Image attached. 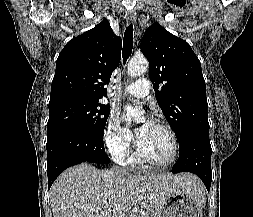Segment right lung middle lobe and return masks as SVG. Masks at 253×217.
Listing matches in <instances>:
<instances>
[{
    "mask_svg": "<svg viewBox=\"0 0 253 217\" xmlns=\"http://www.w3.org/2000/svg\"><path fill=\"white\" fill-rule=\"evenodd\" d=\"M109 113V105H103L96 99L67 98L51 102L47 132L75 127L103 136Z\"/></svg>",
    "mask_w": 253,
    "mask_h": 217,
    "instance_id": "dd1d6c3e",
    "label": "right lung middle lobe"
}]
</instances>
